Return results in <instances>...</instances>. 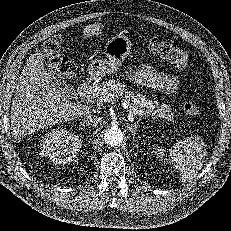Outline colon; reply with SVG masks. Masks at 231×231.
<instances>
[{
  "instance_id": "colon-1",
  "label": "colon",
  "mask_w": 231,
  "mask_h": 231,
  "mask_svg": "<svg viewBox=\"0 0 231 231\" xmlns=\"http://www.w3.org/2000/svg\"><path fill=\"white\" fill-rule=\"evenodd\" d=\"M62 38L54 36L50 39L45 51L50 65L64 77H71L74 74V64L60 53ZM147 48L150 52L166 59L170 63L178 67L187 64L188 54L185 50L161 39H151L147 42ZM183 110L187 115L195 116L199 112V107L194 101H186Z\"/></svg>"
}]
</instances>
